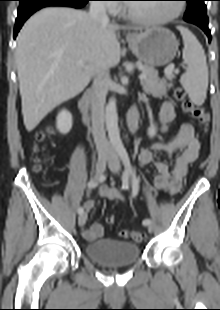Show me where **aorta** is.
I'll return each instance as SVG.
<instances>
[{
    "label": "aorta",
    "instance_id": "aorta-1",
    "mask_svg": "<svg viewBox=\"0 0 220 310\" xmlns=\"http://www.w3.org/2000/svg\"><path fill=\"white\" fill-rule=\"evenodd\" d=\"M105 121L106 128L108 131V136L110 143L114 149H121L123 147L122 141L120 139V132L118 128V114L116 100L114 97L109 99L108 104L105 108Z\"/></svg>",
    "mask_w": 220,
    "mask_h": 310
}]
</instances>
